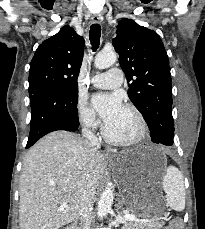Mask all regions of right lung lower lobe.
<instances>
[{"instance_id": "right-lung-lower-lobe-1", "label": "right lung lower lobe", "mask_w": 205, "mask_h": 229, "mask_svg": "<svg viewBox=\"0 0 205 229\" xmlns=\"http://www.w3.org/2000/svg\"><path fill=\"white\" fill-rule=\"evenodd\" d=\"M31 122L26 148L55 130L75 131L79 126L78 96L69 90L50 88L30 96Z\"/></svg>"}]
</instances>
